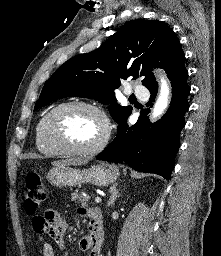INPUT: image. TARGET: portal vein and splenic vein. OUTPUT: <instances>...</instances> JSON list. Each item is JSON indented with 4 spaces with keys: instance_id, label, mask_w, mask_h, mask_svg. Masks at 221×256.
I'll return each mask as SVG.
<instances>
[{
    "instance_id": "1",
    "label": "portal vein and splenic vein",
    "mask_w": 221,
    "mask_h": 256,
    "mask_svg": "<svg viewBox=\"0 0 221 256\" xmlns=\"http://www.w3.org/2000/svg\"><path fill=\"white\" fill-rule=\"evenodd\" d=\"M102 199L100 197H95V202L96 203H101Z\"/></svg>"
}]
</instances>
